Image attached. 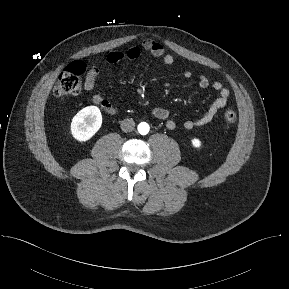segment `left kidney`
I'll list each match as a JSON object with an SVG mask.
<instances>
[{
	"mask_svg": "<svg viewBox=\"0 0 289 289\" xmlns=\"http://www.w3.org/2000/svg\"><path fill=\"white\" fill-rule=\"evenodd\" d=\"M192 145L195 147V148H199L201 147V141L197 138H194L192 139Z\"/></svg>",
	"mask_w": 289,
	"mask_h": 289,
	"instance_id": "5707ae66",
	"label": "left kidney"
}]
</instances>
